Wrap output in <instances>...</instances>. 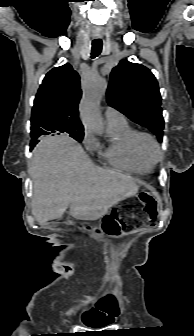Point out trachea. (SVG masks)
<instances>
[{"label": "trachea", "mask_w": 194, "mask_h": 336, "mask_svg": "<svg viewBox=\"0 0 194 336\" xmlns=\"http://www.w3.org/2000/svg\"><path fill=\"white\" fill-rule=\"evenodd\" d=\"M102 41L101 40H96L92 42V49H91V57L95 58L97 57L101 51H102Z\"/></svg>", "instance_id": "1"}]
</instances>
